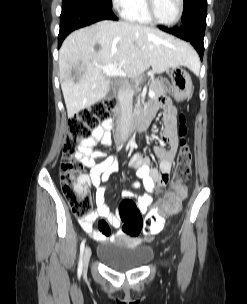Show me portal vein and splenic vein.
Returning <instances> with one entry per match:
<instances>
[{
  "instance_id": "1",
  "label": "portal vein and splenic vein",
  "mask_w": 247,
  "mask_h": 304,
  "mask_svg": "<svg viewBox=\"0 0 247 304\" xmlns=\"http://www.w3.org/2000/svg\"><path fill=\"white\" fill-rule=\"evenodd\" d=\"M101 68L107 76H126V73L116 64L103 66ZM148 95L151 98L155 97V93L153 90H149Z\"/></svg>"
}]
</instances>
